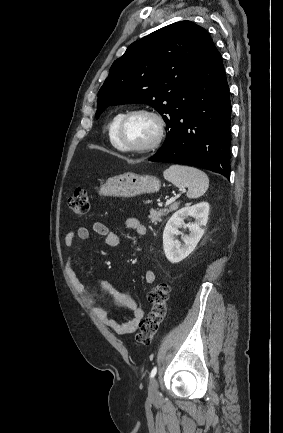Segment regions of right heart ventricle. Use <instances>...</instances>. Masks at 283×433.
Returning <instances> with one entry per match:
<instances>
[{"instance_id":"obj_1","label":"right heart ventricle","mask_w":283,"mask_h":433,"mask_svg":"<svg viewBox=\"0 0 283 433\" xmlns=\"http://www.w3.org/2000/svg\"><path fill=\"white\" fill-rule=\"evenodd\" d=\"M124 113H125L124 111H119V112L115 113L111 117L109 124H108V129H107L108 138H109L111 144L113 145V147L116 148L117 150H120V149H119L118 144H117L116 139H115V130H116V126H117L119 120L121 119V117L123 116Z\"/></svg>"}]
</instances>
